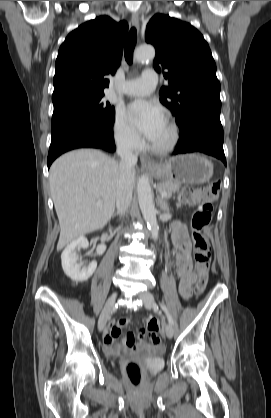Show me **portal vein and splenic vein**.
Segmentation results:
<instances>
[{
  "instance_id": "18ae733b",
  "label": "portal vein and splenic vein",
  "mask_w": 271,
  "mask_h": 418,
  "mask_svg": "<svg viewBox=\"0 0 271 418\" xmlns=\"http://www.w3.org/2000/svg\"><path fill=\"white\" fill-rule=\"evenodd\" d=\"M166 195H167V193L166 192H162L161 193V197L162 198H165L166 197ZM102 200L100 199V198H97V202H96V204L99 206V205H102Z\"/></svg>"
}]
</instances>
